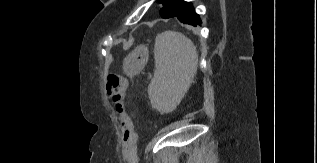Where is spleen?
Segmentation results:
<instances>
[{
  "mask_svg": "<svg viewBox=\"0 0 317 163\" xmlns=\"http://www.w3.org/2000/svg\"><path fill=\"white\" fill-rule=\"evenodd\" d=\"M154 59L149 98L160 113H170L179 105L197 73L196 46L182 33L165 31L155 39Z\"/></svg>",
  "mask_w": 317,
  "mask_h": 163,
  "instance_id": "obj_1",
  "label": "spleen"
}]
</instances>
